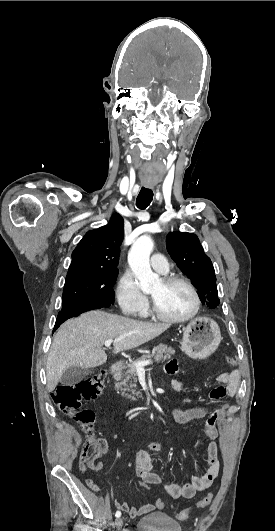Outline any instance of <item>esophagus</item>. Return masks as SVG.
Returning a JSON list of instances; mask_svg holds the SVG:
<instances>
[{
    "instance_id": "obj_1",
    "label": "esophagus",
    "mask_w": 275,
    "mask_h": 531,
    "mask_svg": "<svg viewBox=\"0 0 275 531\" xmlns=\"http://www.w3.org/2000/svg\"><path fill=\"white\" fill-rule=\"evenodd\" d=\"M146 188H152L153 186L151 185H144Z\"/></svg>"
}]
</instances>
